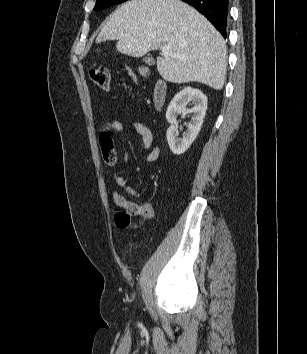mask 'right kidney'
I'll list each match as a JSON object with an SVG mask.
<instances>
[{
    "instance_id": "1",
    "label": "right kidney",
    "mask_w": 307,
    "mask_h": 354,
    "mask_svg": "<svg viewBox=\"0 0 307 354\" xmlns=\"http://www.w3.org/2000/svg\"><path fill=\"white\" fill-rule=\"evenodd\" d=\"M189 102L194 105L191 109L186 108ZM206 109L207 97L199 89L192 87H185L171 100L166 111V119L171 126L168 128L166 136L169 147L175 155L183 154L196 139L200 132ZM181 113L183 115L192 113V117L187 124V130L180 138L178 137L176 118Z\"/></svg>"
}]
</instances>
